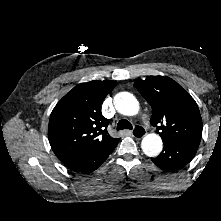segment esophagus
<instances>
[{"label":"esophagus","mask_w":221,"mask_h":221,"mask_svg":"<svg viewBox=\"0 0 221 221\" xmlns=\"http://www.w3.org/2000/svg\"><path fill=\"white\" fill-rule=\"evenodd\" d=\"M131 135L136 139H142L145 136V131L140 126H136L135 130L131 132Z\"/></svg>","instance_id":"34e87169"}]
</instances>
